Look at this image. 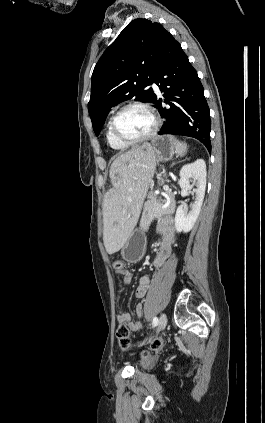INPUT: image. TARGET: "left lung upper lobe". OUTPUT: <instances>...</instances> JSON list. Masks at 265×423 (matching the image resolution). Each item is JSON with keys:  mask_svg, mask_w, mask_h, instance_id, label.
<instances>
[{"mask_svg": "<svg viewBox=\"0 0 265 423\" xmlns=\"http://www.w3.org/2000/svg\"><path fill=\"white\" fill-rule=\"evenodd\" d=\"M170 33L159 23L135 19L106 49L92 74L88 110L99 135L111 108L131 99L152 102V84Z\"/></svg>", "mask_w": 265, "mask_h": 423, "instance_id": "1", "label": "left lung upper lobe"}]
</instances>
